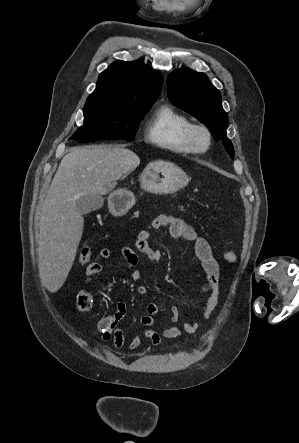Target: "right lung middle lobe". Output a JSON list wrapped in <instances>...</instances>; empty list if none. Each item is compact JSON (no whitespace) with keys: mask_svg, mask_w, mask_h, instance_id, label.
I'll use <instances>...</instances> for the list:
<instances>
[{"mask_svg":"<svg viewBox=\"0 0 299 443\" xmlns=\"http://www.w3.org/2000/svg\"><path fill=\"white\" fill-rule=\"evenodd\" d=\"M152 104L88 98L84 106V125L69 139L80 143L107 139L132 140Z\"/></svg>","mask_w":299,"mask_h":443,"instance_id":"obj_1","label":"right lung middle lobe"}]
</instances>
